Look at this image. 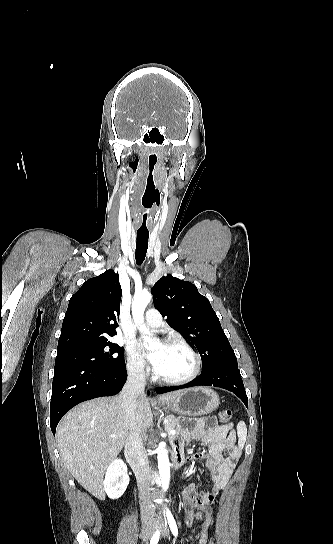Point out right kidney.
<instances>
[{"mask_svg":"<svg viewBox=\"0 0 333 544\" xmlns=\"http://www.w3.org/2000/svg\"><path fill=\"white\" fill-rule=\"evenodd\" d=\"M129 484L127 466L121 459H115L107 467L104 490L109 498L117 499L123 495Z\"/></svg>","mask_w":333,"mask_h":544,"instance_id":"1","label":"right kidney"}]
</instances>
